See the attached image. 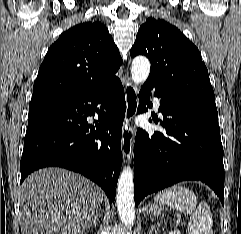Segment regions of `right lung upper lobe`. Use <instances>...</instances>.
<instances>
[{
	"mask_svg": "<svg viewBox=\"0 0 241 234\" xmlns=\"http://www.w3.org/2000/svg\"><path fill=\"white\" fill-rule=\"evenodd\" d=\"M121 63L119 50L101 22L75 25L47 52L29 106L88 95L113 80Z\"/></svg>",
	"mask_w": 241,
	"mask_h": 234,
	"instance_id": "1",
	"label": "right lung upper lobe"
}]
</instances>
